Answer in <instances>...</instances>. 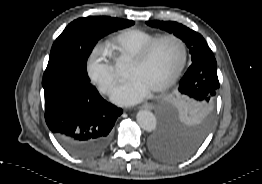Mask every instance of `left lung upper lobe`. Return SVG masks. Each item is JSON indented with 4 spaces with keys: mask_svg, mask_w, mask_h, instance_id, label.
<instances>
[{
    "mask_svg": "<svg viewBox=\"0 0 262 184\" xmlns=\"http://www.w3.org/2000/svg\"><path fill=\"white\" fill-rule=\"evenodd\" d=\"M147 25L166 30L183 40L189 48L192 64L179 83L176 94L160 108L162 126L185 139H202L211 124V108L219 88L214 64L200 62L213 52L197 32L173 21H147ZM179 111L184 124L179 119Z\"/></svg>",
    "mask_w": 262,
    "mask_h": 184,
    "instance_id": "5c2ea615",
    "label": "left lung upper lobe"
}]
</instances>
